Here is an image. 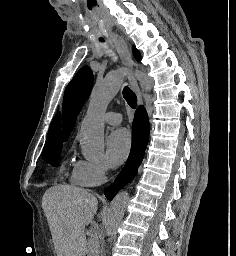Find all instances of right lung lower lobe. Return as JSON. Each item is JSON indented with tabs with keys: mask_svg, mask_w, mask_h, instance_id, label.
Masks as SVG:
<instances>
[{
	"mask_svg": "<svg viewBox=\"0 0 236 256\" xmlns=\"http://www.w3.org/2000/svg\"><path fill=\"white\" fill-rule=\"evenodd\" d=\"M149 139V120L144 107L140 106L135 112L134 121L132 125V146L127 163L108 188L105 189V196L112 200L113 197L122 189L128 182H130L137 173L140 166L146 146Z\"/></svg>",
	"mask_w": 236,
	"mask_h": 256,
	"instance_id": "98d812e1",
	"label": "right lung lower lobe"
}]
</instances>
